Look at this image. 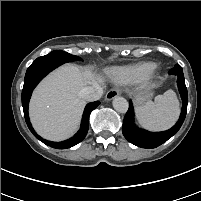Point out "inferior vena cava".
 <instances>
[{
	"label": "inferior vena cava",
	"instance_id": "1",
	"mask_svg": "<svg viewBox=\"0 0 201 201\" xmlns=\"http://www.w3.org/2000/svg\"><path fill=\"white\" fill-rule=\"evenodd\" d=\"M102 94H103V87H101L99 84L85 87L83 90V97L87 101L99 100L101 98Z\"/></svg>",
	"mask_w": 201,
	"mask_h": 201
}]
</instances>
